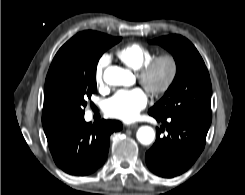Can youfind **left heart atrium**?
Instances as JSON below:
<instances>
[{
	"mask_svg": "<svg viewBox=\"0 0 245 195\" xmlns=\"http://www.w3.org/2000/svg\"><path fill=\"white\" fill-rule=\"evenodd\" d=\"M147 102V94L141 88L120 90L104 102L103 110L112 118L132 122L138 118Z\"/></svg>",
	"mask_w": 245,
	"mask_h": 195,
	"instance_id": "obj_1",
	"label": "left heart atrium"
}]
</instances>
